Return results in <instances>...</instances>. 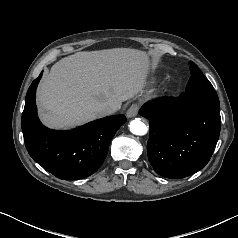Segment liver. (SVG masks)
<instances>
[{"mask_svg":"<svg viewBox=\"0 0 238 238\" xmlns=\"http://www.w3.org/2000/svg\"><path fill=\"white\" fill-rule=\"evenodd\" d=\"M149 59L130 48L78 52L55 63L37 91L41 121L62 129L101 117V105H114L141 95Z\"/></svg>","mask_w":238,"mask_h":238,"instance_id":"liver-1","label":"liver"}]
</instances>
